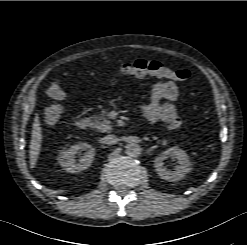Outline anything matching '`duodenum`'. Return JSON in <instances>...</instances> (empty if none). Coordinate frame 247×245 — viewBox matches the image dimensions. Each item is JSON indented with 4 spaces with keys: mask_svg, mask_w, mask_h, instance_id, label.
Returning a JSON list of instances; mask_svg holds the SVG:
<instances>
[{
    "mask_svg": "<svg viewBox=\"0 0 247 245\" xmlns=\"http://www.w3.org/2000/svg\"><path fill=\"white\" fill-rule=\"evenodd\" d=\"M90 126V120L86 117L79 118L76 121V127L78 129L84 130Z\"/></svg>",
    "mask_w": 247,
    "mask_h": 245,
    "instance_id": "1",
    "label": "duodenum"
}]
</instances>
